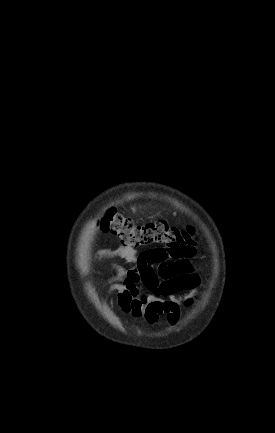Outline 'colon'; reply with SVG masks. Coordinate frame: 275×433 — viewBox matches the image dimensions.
Masks as SVG:
<instances>
[{
  "label": "colon",
  "mask_w": 275,
  "mask_h": 433,
  "mask_svg": "<svg viewBox=\"0 0 275 433\" xmlns=\"http://www.w3.org/2000/svg\"><path fill=\"white\" fill-rule=\"evenodd\" d=\"M103 232L118 237L124 247L140 248L161 244L166 247V257L182 259L194 254L192 228H178L159 220L136 224L129 217L108 209L100 221Z\"/></svg>",
  "instance_id": "1"
}]
</instances>
